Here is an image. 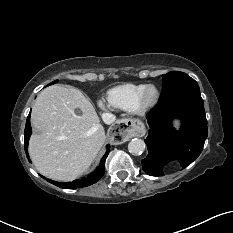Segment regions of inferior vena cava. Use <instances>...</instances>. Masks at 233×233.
I'll return each instance as SVG.
<instances>
[{
    "label": "inferior vena cava",
    "instance_id": "inferior-vena-cava-1",
    "mask_svg": "<svg viewBox=\"0 0 233 233\" xmlns=\"http://www.w3.org/2000/svg\"><path fill=\"white\" fill-rule=\"evenodd\" d=\"M102 119H103L105 124L109 125V124H112L115 121L116 117H115L114 114H111V113H103L102 114Z\"/></svg>",
    "mask_w": 233,
    "mask_h": 233
}]
</instances>
